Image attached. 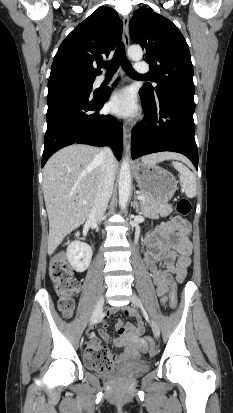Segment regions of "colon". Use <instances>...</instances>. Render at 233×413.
Here are the masks:
<instances>
[{
    "label": "colon",
    "instance_id": "colon-1",
    "mask_svg": "<svg viewBox=\"0 0 233 413\" xmlns=\"http://www.w3.org/2000/svg\"><path fill=\"white\" fill-rule=\"evenodd\" d=\"M176 209L180 216L185 217L189 215L192 210L191 202L186 198H182L178 201ZM49 275L59 298V308L65 317H69L75 306V295L78 291L79 284L73 277L71 268L62 254L54 256L50 261ZM170 305L172 308H176L177 306V296L174 286H172L170 291ZM144 342L146 347L152 346V339L150 337H146ZM112 361L111 353L106 349H102L87 358L90 366L102 371L111 370Z\"/></svg>",
    "mask_w": 233,
    "mask_h": 413
}]
</instances>
